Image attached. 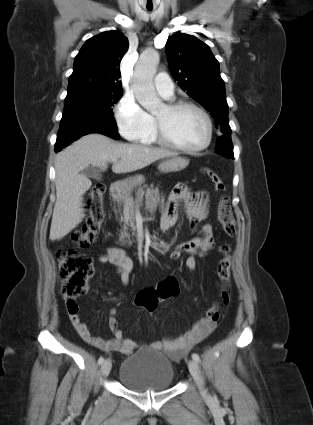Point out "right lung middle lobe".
I'll use <instances>...</instances> for the list:
<instances>
[{
  "label": "right lung middle lobe",
  "mask_w": 313,
  "mask_h": 425,
  "mask_svg": "<svg viewBox=\"0 0 313 425\" xmlns=\"http://www.w3.org/2000/svg\"><path fill=\"white\" fill-rule=\"evenodd\" d=\"M122 97V91H84L67 94L64 111L76 109L113 117L112 107Z\"/></svg>",
  "instance_id": "right-lung-middle-lobe-1"
}]
</instances>
